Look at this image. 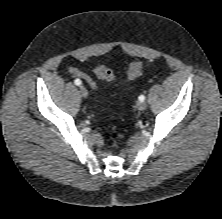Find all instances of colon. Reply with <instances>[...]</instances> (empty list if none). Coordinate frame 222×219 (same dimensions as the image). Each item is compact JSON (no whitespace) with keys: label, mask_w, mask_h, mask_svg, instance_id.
Here are the masks:
<instances>
[{"label":"colon","mask_w":222,"mask_h":219,"mask_svg":"<svg viewBox=\"0 0 222 219\" xmlns=\"http://www.w3.org/2000/svg\"><path fill=\"white\" fill-rule=\"evenodd\" d=\"M142 69H143V64L141 61L131 62L128 66V70L126 73V81L129 82L138 78L142 73ZM94 73L99 79H102V80H106V81L116 80V76L113 73V71L104 65L96 66L94 68ZM92 87H95V85Z\"/></svg>","instance_id":"colon-1"}]
</instances>
